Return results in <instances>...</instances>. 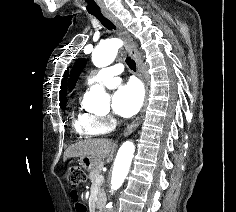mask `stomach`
Wrapping results in <instances>:
<instances>
[{
  "label": "stomach",
  "instance_id": "stomach-1",
  "mask_svg": "<svg viewBox=\"0 0 236 212\" xmlns=\"http://www.w3.org/2000/svg\"><path fill=\"white\" fill-rule=\"evenodd\" d=\"M79 163L85 170L92 171L100 164V160L86 156L81 157Z\"/></svg>",
  "mask_w": 236,
  "mask_h": 212
}]
</instances>
